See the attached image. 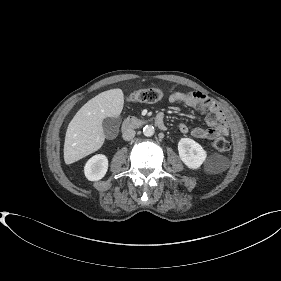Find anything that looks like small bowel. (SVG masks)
I'll use <instances>...</instances> for the list:
<instances>
[{
  "label": "small bowel",
  "instance_id": "1",
  "mask_svg": "<svg viewBox=\"0 0 281 281\" xmlns=\"http://www.w3.org/2000/svg\"><path fill=\"white\" fill-rule=\"evenodd\" d=\"M170 103H182L187 107L206 113L207 127H194L189 130L185 124H180L181 134H190L198 139H211L220 135H228V126L220 107L208 96L200 92H173L169 95Z\"/></svg>",
  "mask_w": 281,
  "mask_h": 281
}]
</instances>
